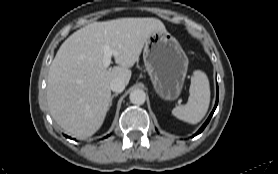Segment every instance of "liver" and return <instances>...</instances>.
Returning <instances> with one entry per match:
<instances>
[{"label": "liver", "mask_w": 278, "mask_h": 174, "mask_svg": "<svg viewBox=\"0 0 278 174\" xmlns=\"http://www.w3.org/2000/svg\"><path fill=\"white\" fill-rule=\"evenodd\" d=\"M166 31L156 18H119L77 30L60 46L47 79V103L53 119L70 135L88 137L102 126L111 98L110 82L125 85L149 35ZM117 52L118 66L105 68L104 46Z\"/></svg>", "instance_id": "1"}]
</instances>
